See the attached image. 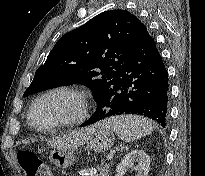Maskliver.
<instances>
[{
  "label": "liver",
  "instance_id": "1",
  "mask_svg": "<svg viewBox=\"0 0 205 176\" xmlns=\"http://www.w3.org/2000/svg\"><path fill=\"white\" fill-rule=\"evenodd\" d=\"M91 128L79 129L77 131L71 132L60 139L50 141L49 143L57 148L70 149L77 148L78 146L84 145L89 136Z\"/></svg>",
  "mask_w": 205,
  "mask_h": 176
}]
</instances>
